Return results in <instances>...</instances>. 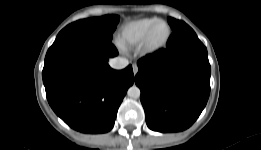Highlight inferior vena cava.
Returning a JSON list of instances; mask_svg holds the SVG:
<instances>
[{
	"label": "inferior vena cava",
	"mask_w": 261,
	"mask_h": 150,
	"mask_svg": "<svg viewBox=\"0 0 261 150\" xmlns=\"http://www.w3.org/2000/svg\"><path fill=\"white\" fill-rule=\"evenodd\" d=\"M129 64V61L126 58H122V57H116V58H112L109 61V65L111 68L113 69H124L125 67H127Z\"/></svg>",
	"instance_id": "1"
}]
</instances>
